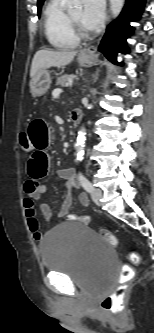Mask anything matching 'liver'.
Instances as JSON below:
<instances>
[{
	"label": "liver",
	"mask_w": 154,
	"mask_h": 333,
	"mask_svg": "<svg viewBox=\"0 0 154 333\" xmlns=\"http://www.w3.org/2000/svg\"><path fill=\"white\" fill-rule=\"evenodd\" d=\"M76 54L77 51L70 50H39L38 52H36L32 60L30 77L33 78L37 71L40 69L68 65L72 62Z\"/></svg>",
	"instance_id": "6515ba94"
}]
</instances>
